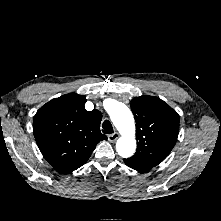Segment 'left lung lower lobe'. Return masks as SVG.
<instances>
[{
    "mask_svg": "<svg viewBox=\"0 0 221 221\" xmlns=\"http://www.w3.org/2000/svg\"><path fill=\"white\" fill-rule=\"evenodd\" d=\"M124 162L127 166H129L130 168L136 170V171H139V172H146L148 170L151 169V167H148V166H143V165H140L138 163H135V162H132V161H129L127 159H124Z\"/></svg>",
    "mask_w": 221,
    "mask_h": 221,
    "instance_id": "1",
    "label": "left lung lower lobe"
}]
</instances>
